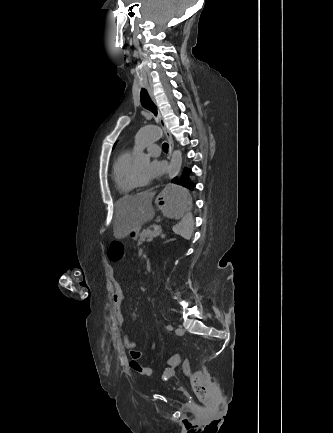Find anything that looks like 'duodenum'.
Listing matches in <instances>:
<instances>
[{
  "mask_svg": "<svg viewBox=\"0 0 333 433\" xmlns=\"http://www.w3.org/2000/svg\"><path fill=\"white\" fill-rule=\"evenodd\" d=\"M145 269H146V271H148V272H150V271L152 270V264H151V261H150L149 259H147V260L145 261Z\"/></svg>",
  "mask_w": 333,
  "mask_h": 433,
  "instance_id": "obj_1",
  "label": "duodenum"
}]
</instances>
